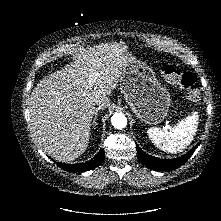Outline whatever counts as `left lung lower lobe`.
Segmentation results:
<instances>
[{"instance_id":"obj_1","label":"left lung lower lobe","mask_w":221,"mask_h":221,"mask_svg":"<svg viewBox=\"0 0 221 221\" xmlns=\"http://www.w3.org/2000/svg\"><path fill=\"white\" fill-rule=\"evenodd\" d=\"M198 146L199 144L194 146V148L185 155L175 159H160L157 157H152L146 154L145 152H143L138 146H137V155L139 161L142 164L146 165L147 168L157 171H168L182 166L191 157V155Z\"/></svg>"}]
</instances>
